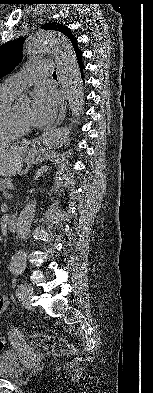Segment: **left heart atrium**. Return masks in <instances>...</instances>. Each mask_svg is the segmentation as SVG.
I'll return each mask as SVG.
<instances>
[{
	"mask_svg": "<svg viewBox=\"0 0 153 393\" xmlns=\"http://www.w3.org/2000/svg\"><path fill=\"white\" fill-rule=\"evenodd\" d=\"M57 108L58 98L54 93L37 89L29 113L30 125L42 127L50 124L56 116Z\"/></svg>",
	"mask_w": 153,
	"mask_h": 393,
	"instance_id": "left-heart-atrium-1",
	"label": "left heart atrium"
}]
</instances>
